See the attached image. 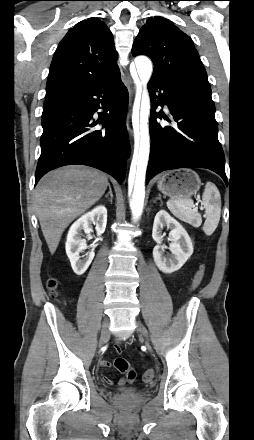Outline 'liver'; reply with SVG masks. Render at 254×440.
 Wrapping results in <instances>:
<instances>
[{
  "instance_id": "1",
  "label": "liver",
  "mask_w": 254,
  "mask_h": 440,
  "mask_svg": "<svg viewBox=\"0 0 254 440\" xmlns=\"http://www.w3.org/2000/svg\"><path fill=\"white\" fill-rule=\"evenodd\" d=\"M108 184L105 173L81 165L53 170L39 181L34 204L51 254L67 226L103 196Z\"/></svg>"
}]
</instances>
